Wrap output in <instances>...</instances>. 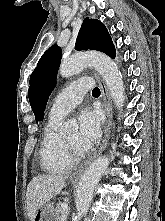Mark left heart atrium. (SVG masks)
<instances>
[{
	"mask_svg": "<svg viewBox=\"0 0 165 221\" xmlns=\"http://www.w3.org/2000/svg\"><path fill=\"white\" fill-rule=\"evenodd\" d=\"M78 142L84 150L90 149L101 134V117L97 111L84 109L78 116Z\"/></svg>",
	"mask_w": 165,
	"mask_h": 221,
	"instance_id": "1",
	"label": "left heart atrium"
}]
</instances>
